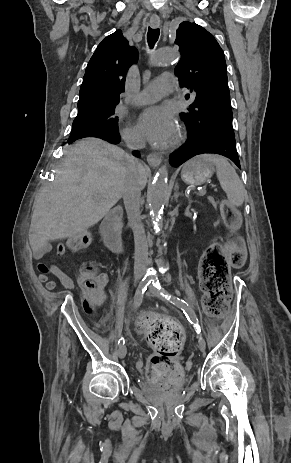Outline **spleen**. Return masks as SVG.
Returning <instances> with one entry per match:
<instances>
[{
    "mask_svg": "<svg viewBox=\"0 0 291 463\" xmlns=\"http://www.w3.org/2000/svg\"><path fill=\"white\" fill-rule=\"evenodd\" d=\"M202 159L212 162L216 166V175L229 202L240 207L244 202L245 187L232 165L223 157L204 154Z\"/></svg>",
    "mask_w": 291,
    "mask_h": 463,
    "instance_id": "3e777b00",
    "label": "spleen"
}]
</instances>
